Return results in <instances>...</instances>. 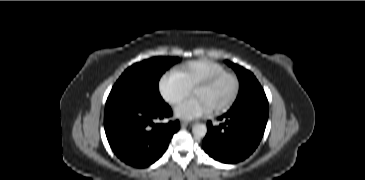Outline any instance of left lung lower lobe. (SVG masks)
Returning <instances> with one entry per match:
<instances>
[{
	"mask_svg": "<svg viewBox=\"0 0 365 180\" xmlns=\"http://www.w3.org/2000/svg\"><path fill=\"white\" fill-rule=\"evenodd\" d=\"M268 116L269 104L265 94L235 102L224 114V123L219 126L207 123L202 147L209 156L220 162L242 161L258 147Z\"/></svg>",
	"mask_w": 365,
	"mask_h": 180,
	"instance_id": "left-lung-lower-lobe-1",
	"label": "left lung lower lobe"
}]
</instances>
